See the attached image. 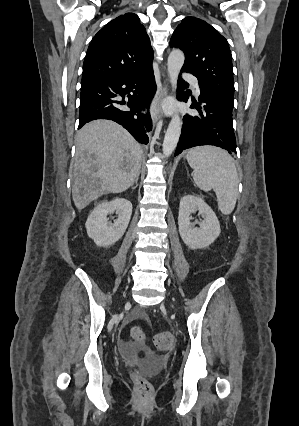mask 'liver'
<instances>
[{"label": "liver", "mask_w": 299, "mask_h": 426, "mask_svg": "<svg viewBox=\"0 0 299 426\" xmlns=\"http://www.w3.org/2000/svg\"><path fill=\"white\" fill-rule=\"evenodd\" d=\"M143 151L120 125L94 120L76 136L72 197L78 210L105 193H120L140 174Z\"/></svg>", "instance_id": "liver-1"}]
</instances>
